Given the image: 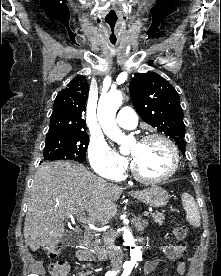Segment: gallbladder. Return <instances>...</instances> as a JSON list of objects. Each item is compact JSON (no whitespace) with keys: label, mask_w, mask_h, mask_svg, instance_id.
<instances>
[{"label":"gallbladder","mask_w":221,"mask_h":276,"mask_svg":"<svg viewBox=\"0 0 221 276\" xmlns=\"http://www.w3.org/2000/svg\"><path fill=\"white\" fill-rule=\"evenodd\" d=\"M75 233L69 232L65 233L64 237L61 240V243L64 245H73L75 243Z\"/></svg>","instance_id":"bac80fb5"}]
</instances>
